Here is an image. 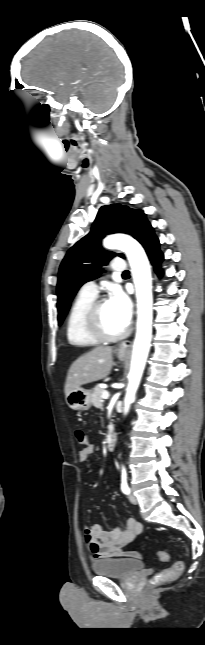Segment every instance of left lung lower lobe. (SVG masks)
Returning a JSON list of instances; mask_svg holds the SVG:
<instances>
[{
    "mask_svg": "<svg viewBox=\"0 0 205 645\" xmlns=\"http://www.w3.org/2000/svg\"><path fill=\"white\" fill-rule=\"evenodd\" d=\"M140 243L146 250V253L151 263L153 264L156 273L158 274V276H161L162 271L160 268V263L164 259V256L159 250L160 243L152 227L149 228Z\"/></svg>",
    "mask_w": 205,
    "mask_h": 645,
    "instance_id": "left-lung-lower-lobe-1",
    "label": "left lung lower lobe"
}]
</instances>
